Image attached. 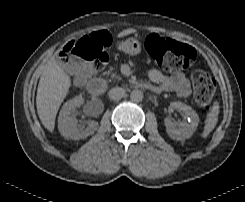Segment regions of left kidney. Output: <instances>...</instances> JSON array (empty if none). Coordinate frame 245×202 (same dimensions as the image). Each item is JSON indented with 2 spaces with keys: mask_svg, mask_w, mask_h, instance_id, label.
I'll list each match as a JSON object with an SVG mask.
<instances>
[{
  "mask_svg": "<svg viewBox=\"0 0 245 202\" xmlns=\"http://www.w3.org/2000/svg\"><path fill=\"white\" fill-rule=\"evenodd\" d=\"M170 108L182 112L185 118H187V122L180 123L179 128H176L174 123L169 118H166L165 126L167 134L172 139L179 141L190 138L196 131L199 123L197 113L190 106H187L182 102H172Z\"/></svg>",
  "mask_w": 245,
  "mask_h": 202,
  "instance_id": "5707ae66",
  "label": "left kidney"
}]
</instances>
